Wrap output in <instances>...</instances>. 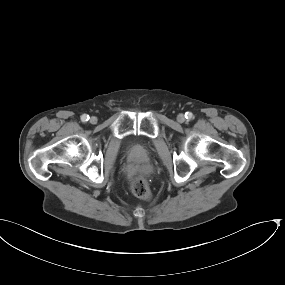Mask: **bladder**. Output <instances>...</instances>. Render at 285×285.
I'll use <instances>...</instances> for the list:
<instances>
[{"instance_id": "bladder-1", "label": "bladder", "mask_w": 285, "mask_h": 285, "mask_svg": "<svg viewBox=\"0 0 285 285\" xmlns=\"http://www.w3.org/2000/svg\"><path fill=\"white\" fill-rule=\"evenodd\" d=\"M130 155L137 159H145L150 153V145L141 139L132 138L127 142Z\"/></svg>"}]
</instances>
